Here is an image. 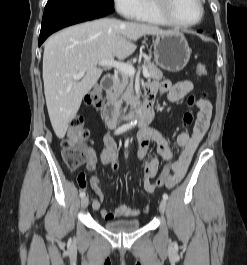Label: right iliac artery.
<instances>
[{"label": "right iliac artery", "instance_id": "1", "mask_svg": "<svg viewBox=\"0 0 247 265\" xmlns=\"http://www.w3.org/2000/svg\"><path fill=\"white\" fill-rule=\"evenodd\" d=\"M129 128H131V125H129V124L123 125V126L119 127V128L115 131V134L122 133V132L128 130ZM80 197H81V198L85 197V192H83V191L80 192Z\"/></svg>", "mask_w": 247, "mask_h": 265}]
</instances>
